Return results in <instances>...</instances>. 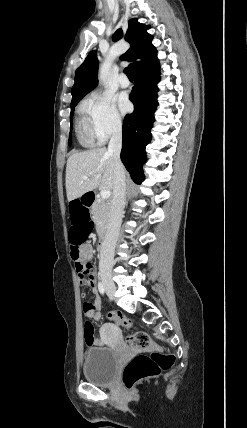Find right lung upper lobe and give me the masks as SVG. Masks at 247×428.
I'll return each mask as SVG.
<instances>
[{"mask_svg": "<svg viewBox=\"0 0 247 428\" xmlns=\"http://www.w3.org/2000/svg\"><path fill=\"white\" fill-rule=\"evenodd\" d=\"M150 26H146L137 21V18L129 21V27L125 35L126 41L131 44V48L121 56V60L133 61L129 64L132 71L150 63L157 58V51L152 44L153 36L147 33ZM122 37V30L118 29L113 35V41ZM140 58L141 61H135ZM98 60L96 51H92L85 59L75 75V83L72 87L71 105L78 103L88 92L93 90L98 83Z\"/></svg>", "mask_w": 247, "mask_h": 428, "instance_id": "obj_1", "label": "right lung upper lobe"}]
</instances>
